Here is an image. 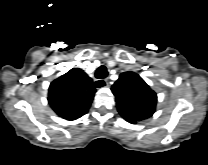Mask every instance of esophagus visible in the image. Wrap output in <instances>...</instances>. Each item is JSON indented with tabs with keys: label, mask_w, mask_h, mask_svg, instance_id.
Listing matches in <instances>:
<instances>
[{
	"label": "esophagus",
	"mask_w": 208,
	"mask_h": 165,
	"mask_svg": "<svg viewBox=\"0 0 208 165\" xmlns=\"http://www.w3.org/2000/svg\"><path fill=\"white\" fill-rule=\"evenodd\" d=\"M96 84L101 85V87H108V86H109V80H108V79H104L103 82L97 80V81H95V85H96Z\"/></svg>",
	"instance_id": "esophagus-1"
}]
</instances>
